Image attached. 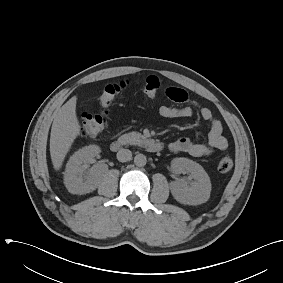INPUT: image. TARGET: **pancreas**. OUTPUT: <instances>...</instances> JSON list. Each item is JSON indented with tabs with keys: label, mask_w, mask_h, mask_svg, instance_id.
<instances>
[{
	"label": "pancreas",
	"mask_w": 283,
	"mask_h": 283,
	"mask_svg": "<svg viewBox=\"0 0 283 283\" xmlns=\"http://www.w3.org/2000/svg\"><path fill=\"white\" fill-rule=\"evenodd\" d=\"M144 139L145 137L138 132L126 133L119 137V141L124 145H136L141 143Z\"/></svg>",
	"instance_id": "obj_1"
}]
</instances>
